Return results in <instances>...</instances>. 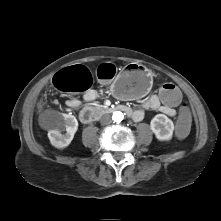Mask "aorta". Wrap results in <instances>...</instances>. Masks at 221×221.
I'll return each instance as SVG.
<instances>
[{
  "label": "aorta",
  "instance_id": "1",
  "mask_svg": "<svg viewBox=\"0 0 221 221\" xmlns=\"http://www.w3.org/2000/svg\"><path fill=\"white\" fill-rule=\"evenodd\" d=\"M124 118V115L121 111H115L112 115V120L114 122L120 123Z\"/></svg>",
  "mask_w": 221,
  "mask_h": 221
}]
</instances>
